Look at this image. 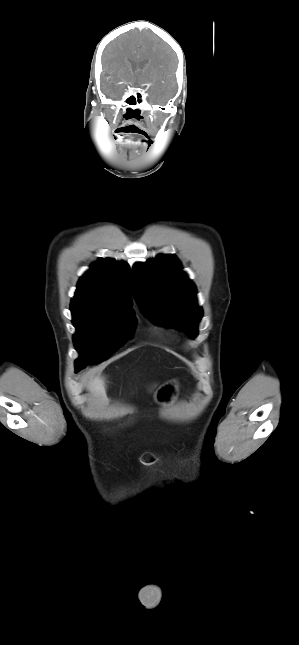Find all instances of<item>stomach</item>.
<instances>
[{
  "label": "stomach",
  "mask_w": 299,
  "mask_h": 645,
  "mask_svg": "<svg viewBox=\"0 0 299 645\" xmlns=\"http://www.w3.org/2000/svg\"><path fill=\"white\" fill-rule=\"evenodd\" d=\"M178 392V384L175 380L170 381L158 388L154 395V400L161 404L167 403L176 398Z\"/></svg>",
  "instance_id": "stomach-1"
}]
</instances>
